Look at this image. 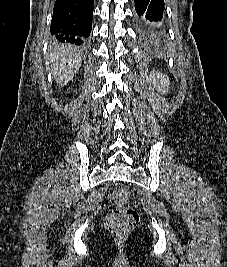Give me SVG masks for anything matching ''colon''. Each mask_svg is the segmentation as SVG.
<instances>
[{
  "label": "colon",
  "instance_id": "obj_1",
  "mask_svg": "<svg viewBox=\"0 0 227 267\" xmlns=\"http://www.w3.org/2000/svg\"><path fill=\"white\" fill-rule=\"evenodd\" d=\"M129 200V192L126 188L116 189L111 195V202L114 208L105 218V227L108 232L119 241L124 240L131 229L139 220L138 212L126 206Z\"/></svg>",
  "mask_w": 227,
  "mask_h": 267
}]
</instances>
